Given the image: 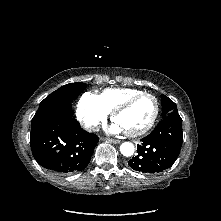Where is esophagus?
<instances>
[{"instance_id": "1", "label": "esophagus", "mask_w": 221, "mask_h": 221, "mask_svg": "<svg viewBox=\"0 0 221 221\" xmlns=\"http://www.w3.org/2000/svg\"><path fill=\"white\" fill-rule=\"evenodd\" d=\"M101 140L102 141H108V142L113 143V144H119L121 142L120 140H115V139H110V138H105V137H102Z\"/></svg>"}]
</instances>
